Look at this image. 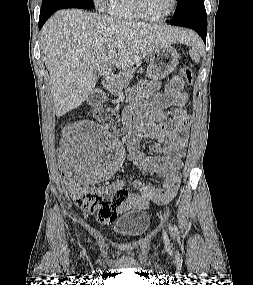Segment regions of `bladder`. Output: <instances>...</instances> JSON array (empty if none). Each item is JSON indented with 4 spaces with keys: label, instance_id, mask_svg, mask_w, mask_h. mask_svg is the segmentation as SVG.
I'll list each match as a JSON object with an SVG mask.
<instances>
[{
    "label": "bladder",
    "instance_id": "31cf9c89",
    "mask_svg": "<svg viewBox=\"0 0 253 285\" xmlns=\"http://www.w3.org/2000/svg\"><path fill=\"white\" fill-rule=\"evenodd\" d=\"M150 214L145 210L131 209L123 212L113 223L114 235L124 239L141 237L150 226Z\"/></svg>",
    "mask_w": 253,
    "mask_h": 285
}]
</instances>
